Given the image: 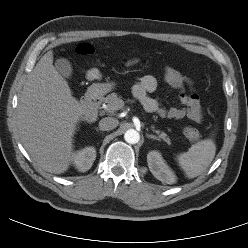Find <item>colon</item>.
<instances>
[{"label":"colon","instance_id":"obj_1","mask_svg":"<svg viewBox=\"0 0 248 248\" xmlns=\"http://www.w3.org/2000/svg\"><path fill=\"white\" fill-rule=\"evenodd\" d=\"M76 51L80 55H89L93 53L94 49L89 44H80ZM162 79L168 85L176 88L182 87L185 83L184 76L178 70L169 66H165L162 69ZM184 135L190 141H197L200 139V133L192 126L184 128Z\"/></svg>","mask_w":248,"mask_h":248}]
</instances>
